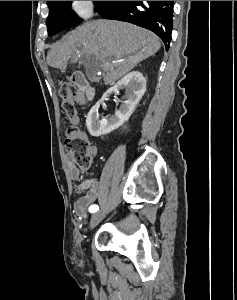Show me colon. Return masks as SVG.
Returning a JSON list of instances; mask_svg holds the SVG:
<instances>
[{"mask_svg":"<svg viewBox=\"0 0 237 300\" xmlns=\"http://www.w3.org/2000/svg\"><path fill=\"white\" fill-rule=\"evenodd\" d=\"M62 107L69 119L77 116L75 107L76 90L70 84H64L60 88ZM65 149L81 169L91 166L92 158L89 154L90 144L85 133L75 125L70 126L66 132Z\"/></svg>","mask_w":237,"mask_h":300,"instance_id":"obj_1","label":"colon"}]
</instances>
